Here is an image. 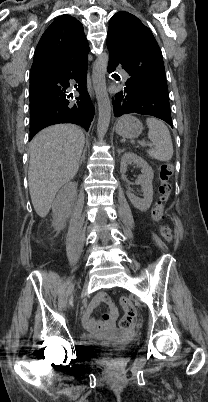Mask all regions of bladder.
Returning <instances> with one entry per match:
<instances>
[{
	"mask_svg": "<svg viewBox=\"0 0 208 402\" xmlns=\"http://www.w3.org/2000/svg\"><path fill=\"white\" fill-rule=\"evenodd\" d=\"M108 338H97L96 336H85V342L86 344H98L97 349L101 348V345H104L108 342Z\"/></svg>",
	"mask_w": 208,
	"mask_h": 402,
	"instance_id": "bladder-1",
	"label": "bladder"
}]
</instances>
